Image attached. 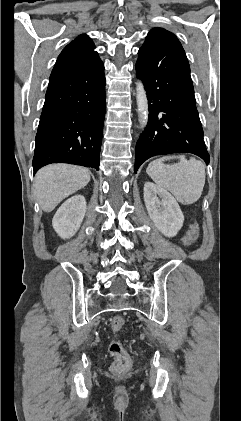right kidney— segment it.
Here are the masks:
<instances>
[{
  "label": "right kidney",
  "mask_w": 241,
  "mask_h": 421,
  "mask_svg": "<svg viewBox=\"0 0 241 421\" xmlns=\"http://www.w3.org/2000/svg\"><path fill=\"white\" fill-rule=\"evenodd\" d=\"M86 213V200L75 195L66 200L55 213L52 225L57 234L65 239L75 235Z\"/></svg>",
  "instance_id": "1"
}]
</instances>
